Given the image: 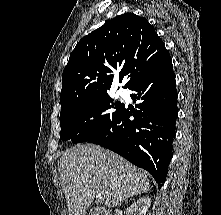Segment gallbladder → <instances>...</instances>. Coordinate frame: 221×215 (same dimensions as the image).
<instances>
[{
    "label": "gallbladder",
    "instance_id": "bac80fb5",
    "mask_svg": "<svg viewBox=\"0 0 221 215\" xmlns=\"http://www.w3.org/2000/svg\"><path fill=\"white\" fill-rule=\"evenodd\" d=\"M102 213H103L102 210L95 208V209H93V210L90 211V214H89V215H103Z\"/></svg>",
    "mask_w": 221,
    "mask_h": 215
}]
</instances>
